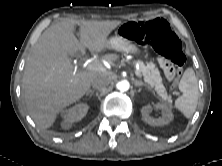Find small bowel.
Listing matches in <instances>:
<instances>
[{
    "instance_id": "1",
    "label": "small bowel",
    "mask_w": 222,
    "mask_h": 166,
    "mask_svg": "<svg viewBox=\"0 0 222 166\" xmlns=\"http://www.w3.org/2000/svg\"><path fill=\"white\" fill-rule=\"evenodd\" d=\"M159 63H161V59H159Z\"/></svg>"
}]
</instances>
